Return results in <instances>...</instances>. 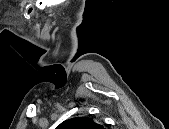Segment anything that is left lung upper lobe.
<instances>
[{
    "instance_id": "obj_1",
    "label": "left lung upper lobe",
    "mask_w": 169,
    "mask_h": 129,
    "mask_svg": "<svg viewBox=\"0 0 169 129\" xmlns=\"http://www.w3.org/2000/svg\"><path fill=\"white\" fill-rule=\"evenodd\" d=\"M103 126L88 117H77L62 122L58 129H102Z\"/></svg>"
}]
</instances>
